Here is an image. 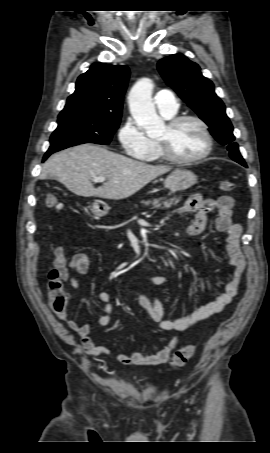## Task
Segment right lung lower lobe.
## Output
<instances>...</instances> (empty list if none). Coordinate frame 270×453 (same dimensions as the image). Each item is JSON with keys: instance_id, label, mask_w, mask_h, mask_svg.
<instances>
[{"instance_id": "obj_1", "label": "right lung lower lobe", "mask_w": 270, "mask_h": 453, "mask_svg": "<svg viewBox=\"0 0 270 453\" xmlns=\"http://www.w3.org/2000/svg\"><path fill=\"white\" fill-rule=\"evenodd\" d=\"M52 153H53V152H47V153L44 155V157H43V161L46 160L47 157H48L49 155H51Z\"/></svg>"}]
</instances>
